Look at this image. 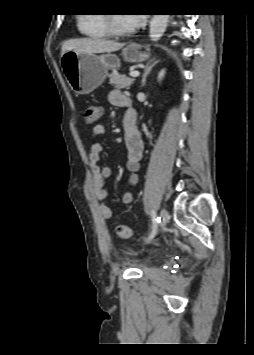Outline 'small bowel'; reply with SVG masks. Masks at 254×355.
I'll return each mask as SVG.
<instances>
[{"label": "small bowel", "instance_id": "1", "mask_svg": "<svg viewBox=\"0 0 254 355\" xmlns=\"http://www.w3.org/2000/svg\"><path fill=\"white\" fill-rule=\"evenodd\" d=\"M109 101L114 106L125 107L126 111L123 118V126L125 129V146L127 149V162L126 166L129 171V184L131 186L136 185L139 182V169L140 161L143 156L144 151V141L141 136V133L138 129L133 128L127 130L125 127L126 121L128 119H137V112L133 108L130 99L124 95L119 90H113L109 95ZM106 132V129L103 125H96L91 131L92 142L90 145L89 151V163L90 170L92 173L91 181V191L96 199L99 211L103 219L109 220L112 218V210L105 204V199L107 197V191L104 188V182L106 179L111 177L112 168L110 166H100L98 164L100 160V155L103 150V145L100 141L97 140L98 137L103 136ZM133 200V194L130 191H126L122 195V202L124 204H130Z\"/></svg>", "mask_w": 254, "mask_h": 355}]
</instances>
